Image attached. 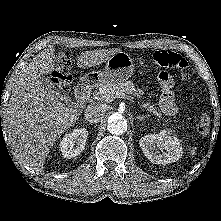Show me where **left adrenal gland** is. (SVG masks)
Masks as SVG:
<instances>
[{"label": "left adrenal gland", "mask_w": 221, "mask_h": 221, "mask_svg": "<svg viewBox=\"0 0 221 221\" xmlns=\"http://www.w3.org/2000/svg\"><path fill=\"white\" fill-rule=\"evenodd\" d=\"M149 116H147V115H138L137 116V120L138 121H142V120H144V119H146V118H148Z\"/></svg>", "instance_id": "obj_1"}]
</instances>
